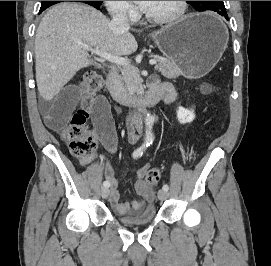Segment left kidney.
Returning <instances> with one entry per match:
<instances>
[{
	"label": "left kidney",
	"mask_w": 271,
	"mask_h": 266,
	"mask_svg": "<svg viewBox=\"0 0 271 266\" xmlns=\"http://www.w3.org/2000/svg\"><path fill=\"white\" fill-rule=\"evenodd\" d=\"M177 118L181 124L191 123L195 118L194 110H189L184 107H178Z\"/></svg>",
	"instance_id": "5707ae66"
}]
</instances>
